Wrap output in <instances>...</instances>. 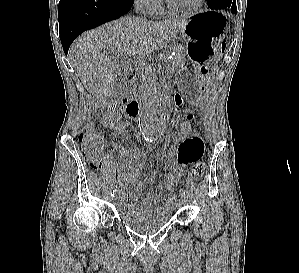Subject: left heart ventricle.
Here are the masks:
<instances>
[{
  "instance_id": "1",
  "label": "left heart ventricle",
  "mask_w": 299,
  "mask_h": 273,
  "mask_svg": "<svg viewBox=\"0 0 299 273\" xmlns=\"http://www.w3.org/2000/svg\"><path fill=\"white\" fill-rule=\"evenodd\" d=\"M172 4L181 9H189L193 7L198 0H170Z\"/></svg>"
}]
</instances>
